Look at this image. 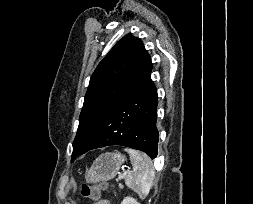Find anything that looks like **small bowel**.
Instances as JSON below:
<instances>
[{
  "mask_svg": "<svg viewBox=\"0 0 253 204\" xmlns=\"http://www.w3.org/2000/svg\"><path fill=\"white\" fill-rule=\"evenodd\" d=\"M95 204H111L108 200H99Z\"/></svg>",
  "mask_w": 253,
  "mask_h": 204,
  "instance_id": "1",
  "label": "small bowel"
}]
</instances>
